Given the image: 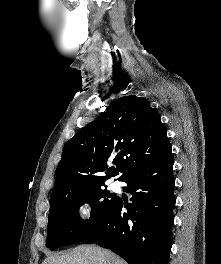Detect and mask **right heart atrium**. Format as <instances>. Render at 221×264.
<instances>
[{"label":"right heart atrium","mask_w":221,"mask_h":264,"mask_svg":"<svg viewBox=\"0 0 221 264\" xmlns=\"http://www.w3.org/2000/svg\"><path fill=\"white\" fill-rule=\"evenodd\" d=\"M76 220L78 224L87 223L93 214V203L88 198L80 199L75 207Z\"/></svg>","instance_id":"1"}]
</instances>
